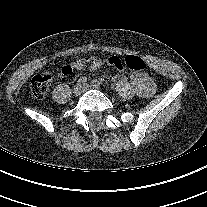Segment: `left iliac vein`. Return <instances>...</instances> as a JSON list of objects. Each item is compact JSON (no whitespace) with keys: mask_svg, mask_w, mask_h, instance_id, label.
<instances>
[{"mask_svg":"<svg viewBox=\"0 0 207 207\" xmlns=\"http://www.w3.org/2000/svg\"><path fill=\"white\" fill-rule=\"evenodd\" d=\"M89 88L100 89L99 86H95V85H93V84H92V85H85V86L83 87L84 90L89 89Z\"/></svg>","mask_w":207,"mask_h":207,"instance_id":"obj_1","label":"left iliac vein"}]
</instances>
